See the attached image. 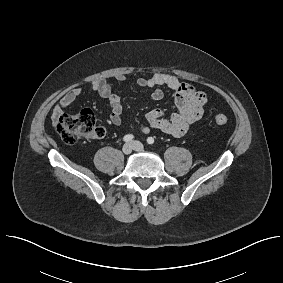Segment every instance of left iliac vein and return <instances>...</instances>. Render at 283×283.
Wrapping results in <instances>:
<instances>
[{
	"label": "left iliac vein",
	"mask_w": 283,
	"mask_h": 283,
	"mask_svg": "<svg viewBox=\"0 0 283 283\" xmlns=\"http://www.w3.org/2000/svg\"><path fill=\"white\" fill-rule=\"evenodd\" d=\"M130 144L133 146L135 151H143L144 149L143 144L139 141H132Z\"/></svg>",
	"instance_id": "1"
}]
</instances>
